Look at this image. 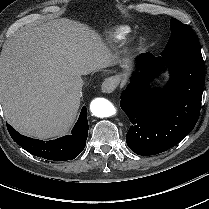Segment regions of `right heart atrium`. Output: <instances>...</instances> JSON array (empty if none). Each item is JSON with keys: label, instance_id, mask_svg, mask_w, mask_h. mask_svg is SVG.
Returning <instances> with one entry per match:
<instances>
[{"label": "right heart atrium", "instance_id": "obj_1", "mask_svg": "<svg viewBox=\"0 0 209 209\" xmlns=\"http://www.w3.org/2000/svg\"><path fill=\"white\" fill-rule=\"evenodd\" d=\"M69 79H70L71 81L77 80V79H78V74H77L75 71L71 70V71L69 72Z\"/></svg>", "mask_w": 209, "mask_h": 209}]
</instances>
